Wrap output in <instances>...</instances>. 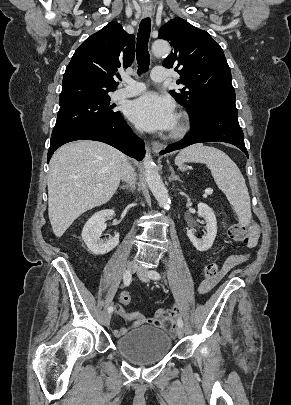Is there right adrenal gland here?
Segmentation results:
<instances>
[{
    "instance_id": "obj_1",
    "label": "right adrenal gland",
    "mask_w": 291,
    "mask_h": 405,
    "mask_svg": "<svg viewBox=\"0 0 291 405\" xmlns=\"http://www.w3.org/2000/svg\"><path fill=\"white\" fill-rule=\"evenodd\" d=\"M120 189L127 190L128 187L126 185L120 186Z\"/></svg>"
}]
</instances>
